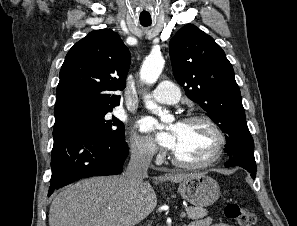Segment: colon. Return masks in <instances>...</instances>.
I'll list each match as a JSON object with an SVG mask.
<instances>
[{"label": "colon", "mask_w": 297, "mask_h": 226, "mask_svg": "<svg viewBox=\"0 0 297 226\" xmlns=\"http://www.w3.org/2000/svg\"><path fill=\"white\" fill-rule=\"evenodd\" d=\"M225 215L238 222L240 226H255L257 221L255 214L240 207L237 203H228L225 207Z\"/></svg>", "instance_id": "1"}]
</instances>
